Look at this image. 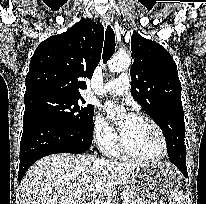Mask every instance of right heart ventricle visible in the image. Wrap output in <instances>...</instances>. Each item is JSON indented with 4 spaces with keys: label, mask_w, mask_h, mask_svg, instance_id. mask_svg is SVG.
Segmentation results:
<instances>
[{
    "label": "right heart ventricle",
    "mask_w": 206,
    "mask_h": 204,
    "mask_svg": "<svg viewBox=\"0 0 206 204\" xmlns=\"http://www.w3.org/2000/svg\"><path fill=\"white\" fill-rule=\"evenodd\" d=\"M110 153L113 155V156H119L120 155V150L117 146H115L111 151Z\"/></svg>",
    "instance_id": "1"
}]
</instances>
